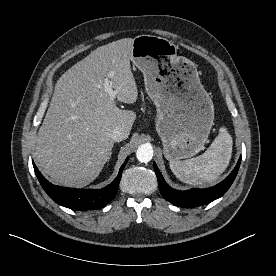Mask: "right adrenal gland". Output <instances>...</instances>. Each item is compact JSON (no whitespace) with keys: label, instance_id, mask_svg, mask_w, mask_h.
<instances>
[{"label":"right adrenal gland","instance_id":"obj_1","mask_svg":"<svg viewBox=\"0 0 276 276\" xmlns=\"http://www.w3.org/2000/svg\"><path fill=\"white\" fill-rule=\"evenodd\" d=\"M111 155H112V153H110V155H109V159L111 158Z\"/></svg>","mask_w":276,"mask_h":276}]
</instances>
